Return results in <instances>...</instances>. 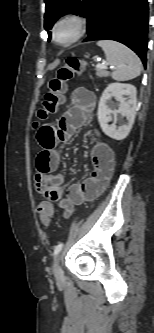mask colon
<instances>
[{"mask_svg": "<svg viewBox=\"0 0 154 333\" xmlns=\"http://www.w3.org/2000/svg\"><path fill=\"white\" fill-rule=\"evenodd\" d=\"M85 68L83 61L70 57L65 64L61 66L57 74L48 82V91L44 96V101L37 111V120L44 121L57 113L59 107L64 102V93L67 83L74 76L81 73ZM37 125V123H36ZM37 213L45 227H48L53 216L54 207L52 203L43 201L37 206Z\"/></svg>", "mask_w": 154, "mask_h": 333, "instance_id": "1", "label": "colon"}]
</instances>
